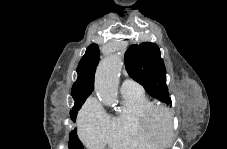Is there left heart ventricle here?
I'll return each instance as SVG.
<instances>
[{"mask_svg":"<svg viewBox=\"0 0 227 149\" xmlns=\"http://www.w3.org/2000/svg\"><path fill=\"white\" fill-rule=\"evenodd\" d=\"M154 128L157 136L165 139L167 136V123L163 115H157L154 119Z\"/></svg>","mask_w":227,"mask_h":149,"instance_id":"obj_1","label":"left heart ventricle"}]
</instances>
